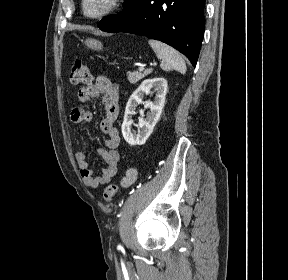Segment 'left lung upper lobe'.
<instances>
[{
    "instance_id": "left-lung-upper-lobe-1",
    "label": "left lung upper lobe",
    "mask_w": 288,
    "mask_h": 280,
    "mask_svg": "<svg viewBox=\"0 0 288 280\" xmlns=\"http://www.w3.org/2000/svg\"><path fill=\"white\" fill-rule=\"evenodd\" d=\"M133 2L134 0H125L123 3V9L129 7Z\"/></svg>"
}]
</instances>
